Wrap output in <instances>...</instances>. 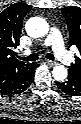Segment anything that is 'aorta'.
<instances>
[{
	"label": "aorta",
	"instance_id": "aorta-1",
	"mask_svg": "<svg viewBox=\"0 0 81 124\" xmlns=\"http://www.w3.org/2000/svg\"><path fill=\"white\" fill-rule=\"evenodd\" d=\"M25 29L31 37H43L49 31V24L43 18L32 17L26 22ZM52 74L57 81H63L67 78L68 72L64 66L57 65L53 68Z\"/></svg>",
	"mask_w": 81,
	"mask_h": 124
}]
</instances>
